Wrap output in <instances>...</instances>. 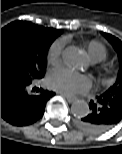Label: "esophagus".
Returning <instances> with one entry per match:
<instances>
[{"label": "esophagus", "mask_w": 122, "mask_h": 154, "mask_svg": "<svg viewBox=\"0 0 122 154\" xmlns=\"http://www.w3.org/2000/svg\"><path fill=\"white\" fill-rule=\"evenodd\" d=\"M58 94L64 96L69 103H73V102L76 101V98H74V97L66 96V95L61 94V93H58Z\"/></svg>", "instance_id": "obj_1"}]
</instances>
